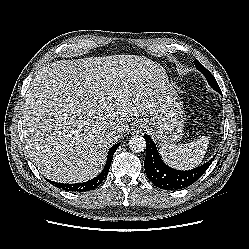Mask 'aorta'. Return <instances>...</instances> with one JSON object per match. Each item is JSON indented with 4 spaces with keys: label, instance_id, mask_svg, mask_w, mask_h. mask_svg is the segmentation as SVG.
<instances>
[{
    "label": "aorta",
    "instance_id": "aorta-1",
    "mask_svg": "<svg viewBox=\"0 0 249 249\" xmlns=\"http://www.w3.org/2000/svg\"><path fill=\"white\" fill-rule=\"evenodd\" d=\"M128 144L130 150L136 153H140L146 148V140L140 135L132 136Z\"/></svg>",
    "mask_w": 249,
    "mask_h": 249
}]
</instances>
